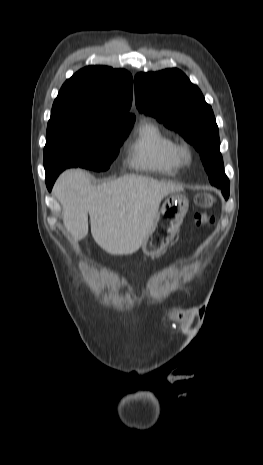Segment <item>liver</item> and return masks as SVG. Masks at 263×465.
Here are the masks:
<instances>
[{
	"label": "liver",
	"instance_id": "1",
	"mask_svg": "<svg viewBox=\"0 0 263 465\" xmlns=\"http://www.w3.org/2000/svg\"><path fill=\"white\" fill-rule=\"evenodd\" d=\"M183 187L141 175H125L94 186L82 170L60 175L54 194L75 241L88 234V213L95 242L111 255L136 252L156 218L162 199Z\"/></svg>",
	"mask_w": 263,
	"mask_h": 465
}]
</instances>
